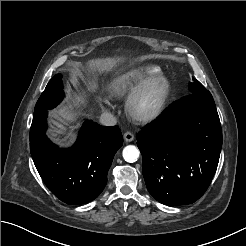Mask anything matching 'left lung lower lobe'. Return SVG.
<instances>
[{"label": "left lung lower lobe", "instance_id": "1", "mask_svg": "<svg viewBox=\"0 0 246 246\" xmlns=\"http://www.w3.org/2000/svg\"><path fill=\"white\" fill-rule=\"evenodd\" d=\"M150 194L165 205L191 204L209 187L222 147L211 93H191L172 103L137 135Z\"/></svg>", "mask_w": 246, "mask_h": 246}]
</instances>
